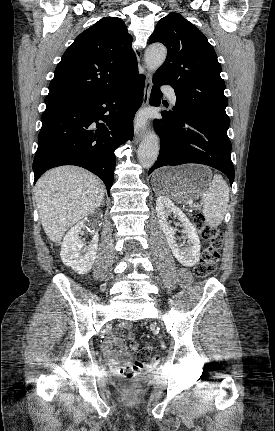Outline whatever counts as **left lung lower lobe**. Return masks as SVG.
Masks as SVG:
<instances>
[{
    "label": "left lung lower lobe",
    "instance_id": "left-lung-lower-lobe-1",
    "mask_svg": "<svg viewBox=\"0 0 275 431\" xmlns=\"http://www.w3.org/2000/svg\"><path fill=\"white\" fill-rule=\"evenodd\" d=\"M153 83L150 104L159 106L162 97L159 86L166 83L155 79ZM161 114L164 120H154L161 148L157 161L148 174L166 165L199 163L220 170L232 185L234 167L231 161V142L227 136L229 125L189 112L165 110Z\"/></svg>",
    "mask_w": 275,
    "mask_h": 431
}]
</instances>
